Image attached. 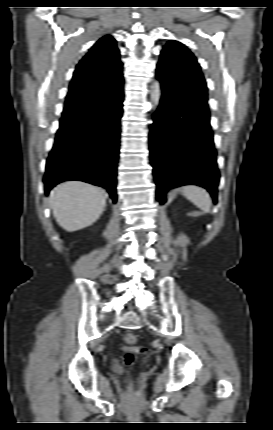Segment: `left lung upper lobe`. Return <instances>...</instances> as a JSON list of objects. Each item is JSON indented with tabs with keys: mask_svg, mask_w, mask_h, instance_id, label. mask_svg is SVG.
<instances>
[{
	"mask_svg": "<svg viewBox=\"0 0 273 430\" xmlns=\"http://www.w3.org/2000/svg\"><path fill=\"white\" fill-rule=\"evenodd\" d=\"M159 75L170 79L175 93L209 113L208 91L196 57L180 42L170 40L161 51Z\"/></svg>",
	"mask_w": 273,
	"mask_h": 430,
	"instance_id": "5c2ea615",
	"label": "left lung upper lobe"
}]
</instances>
